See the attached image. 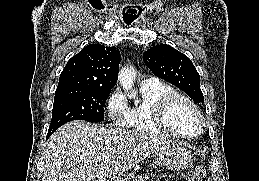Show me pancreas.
Segmentation results:
<instances>
[{
    "label": "pancreas",
    "mask_w": 259,
    "mask_h": 181,
    "mask_svg": "<svg viewBox=\"0 0 259 181\" xmlns=\"http://www.w3.org/2000/svg\"><path fill=\"white\" fill-rule=\"evenodd\" d=\"M147 178H148L147 175H145V176L139 175L133 181H144Z\"/></svg>",
    "instance_id": "cf45deb5"
}]
</instances>
